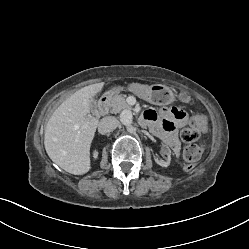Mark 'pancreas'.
I'll return each mask as SVG.
<instances>
[{"instance_id": "obj_1", "label": "pancreas", "mask_w": 249, "mask_h": 249, "mask_svg": "<svg viewBox=\"0 0 249 249\" xmlns=\"http://www.w3.org/2000/svg\"><path fill=\"white\" fill-rule=\"evenodd\" d=\"M108 102L109 106L111 107V112L115 114L119 113L123 109L130 108L126 102V95L124 94L109 96Z\"/></svg>"}]
</instances>
